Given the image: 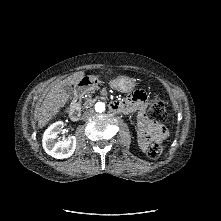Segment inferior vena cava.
<instances>
[{
  "label": "inferior vena cava",
  "mask_w": 221,
  "mask_h": 221,
  "mask_svg": "<svg viewBox=\"0 0 221 221\" xmlns=\"http://www.w3.org/2000/svg\"><path fill=\"white\" fill-rule=\"evenodd\" d=\"M94 113L93 109H88L83 113L82 119H87L89 117H91Z\"/></svg>",
  "instance_id": "1"
}]
</instances>
